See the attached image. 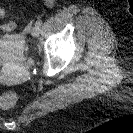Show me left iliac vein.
<instances>
[{
	"mask_svg": "<svg viewBox=\"0 0 133 133\" xmlns=\"http://www.w3.org/2000/svg\"><path fill=\"white\" fill-rule=\"evenodd\" d=\"M31 34H32V36H34V37H38L39 34H40V27L34 26V27L31 29Z\"/></svg>",
	"mask_w": 133,
	"mask_h": 133,
	"instance_id": "4c4485c4",
	"label": "left iliac vein"
}]
</instances>
